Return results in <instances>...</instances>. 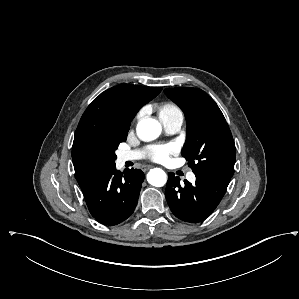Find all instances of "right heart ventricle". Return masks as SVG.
I'll return each mask as SVG.
<instances>
[{"label":"right heart ventricle","mask_w":299,"mask_h":299,"mask_svg":"<svg viewBox=\"0 0 299 299\" xmlns=\"http://www.w3.org/2000/svg\"><path fill=\"white\" fill-rule=\"evenodd\" d=\"M158 114L160 119H162L173 115H182V112L176 104L167 102L159 106Z\"/></svg>","instance_id":"1"}]
</instances>
